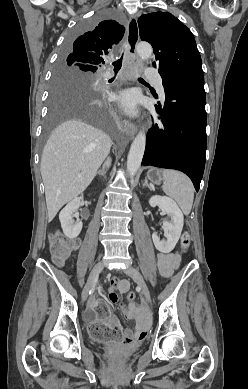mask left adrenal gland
Here are the masks:
<instances>
[{
  "instance_id": "1",
  "label": "left adrenal gland",
  "mask_w": 248,
  "mask_h": 389,
  "mask_svg": "<svg viewBox=\"0 0 248 389\" xmlns=\"http://www.w3.org/2000/svg\"><path fill=\"white\" fill-rule=\"evenodd\" d=\"M148 187L149 189H151V185L150 184H148V180L147 179H145V182H144V184H143V187Z\"/></svg>"
}]
</instances>
